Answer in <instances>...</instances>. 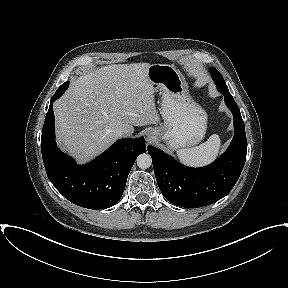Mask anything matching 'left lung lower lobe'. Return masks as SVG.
I'll return each mask as SVG.
<instances>
[{"instance_id": "left-lung-lower-lobe-1", "label": "left lung lower lobe", "mask_w": 288, "mask_h": 288, "mask_svg": "<svg viewBox=\"0 0 288 288\" xmlns=\"http://www.w3.org/2000/svg\"><path fill=\"white\" fill-rule=\"evenodd\" d=\"M223 95L234 116L235 134L226 152L212 164L202 168L185 167L161 150L147 147L159 189L174 205L198 208L212 204L232 190L241 174L247 154L244 122L232 95Z\"/></svg>"}]
</instances>
